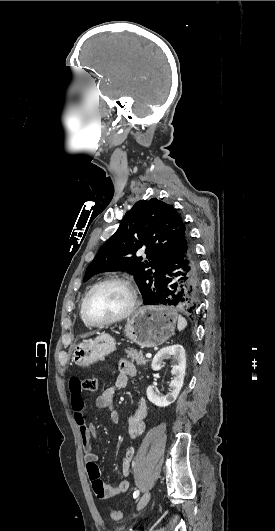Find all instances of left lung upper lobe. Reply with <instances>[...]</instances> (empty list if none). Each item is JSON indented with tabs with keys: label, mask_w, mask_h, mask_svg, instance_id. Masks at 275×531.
I'll use <instances>...</instances> for the list:
<instances>
[{
	"label": "left lung upper lobe",
	"mask_w": 275,
	"mask_h": 531,
	"mask_svg": "<svg viewBox=\"0 0 275 531\" xmlns=\"http://www.w3.org/2000/svg\"><path fill=\"white\" fill-rule=\"evenodd\" d=\"M185 233L184 221L173 206L156 198L140 200L100 247L84 281L100 272L126 270L134 275L143 304H153L165 286L170 259ZM142 249L147 260L136 256Z\"/></svg>",
	"instance_id": "obj_1"
}]
</instances>
